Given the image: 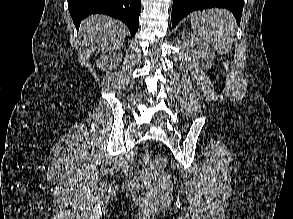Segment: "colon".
Instances as JSON below:
<instances>
[{"mask_svg": "<svg viewBox=\"0 0 293 219\" xmlns=\"http://www.w3.org/2000/svg\"><path fill=\"white\" fill-rule=\"evenodd\" d=\"M141 160L145 164H154L157 167H164L166 165V160L164 158H155L148 152L144 151L141 155ZM133 196L135 200L138 202L144 204V205H150L151 199H152V193L149 188L138 185L133 190Z\"/></svg>", "mask_w": 293, "mask_h": 219, "instance_id": "1", "label": "colon"}]
</instances>
